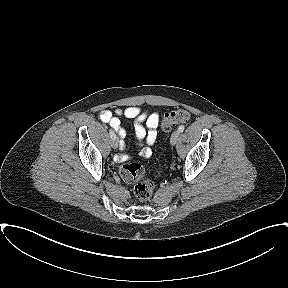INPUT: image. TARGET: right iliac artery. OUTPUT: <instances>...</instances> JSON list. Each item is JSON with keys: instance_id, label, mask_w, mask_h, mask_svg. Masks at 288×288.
Returning a JSON list of instances; mask_svg holds the SVG:
<instances>
[{"instance_id": "1", "label": "right iliac artery", "mask_w": 288, "mask_h": 288, "mask_svg": "<svg viewBox=\"0 0 288 288\" xmlns=\"http://www.w3.org/2000/svg\"><path fill=\"white\" fill-rule=\"evenodd\" d=\"M109 133H110V137H111V138H114V137H116V135H115V133H114V131H113V130H109Z\"/></svg>"}]
</instances>
